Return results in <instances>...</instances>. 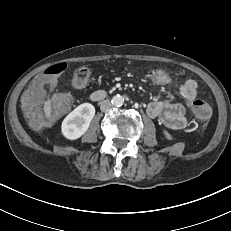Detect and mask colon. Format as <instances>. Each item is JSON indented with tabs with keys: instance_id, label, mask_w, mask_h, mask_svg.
<instances>
[{
	"instance_id": "colon-1",
	"label": "colon",
	"mask_w": 231,
	"mask_h": 231,
	"mask_svg": "<svg viewBox=\"0 0 231 231\" xmlns=\"http://www.w3.org/2000/svg\"><path fill=\"white\" fill-rule=\"evenodd\" d=\"M66 69V64L58 63L48 67L44 74L39 75L35 84H33L23 95L22 109L29 123L34 127L43 124V117L39 110V103L42 98L43 91L48 90L55 77L60 75ZM90 77V71L86 67L77 69L73 77V86L75 88L84 87ZM146 80L155 86H171L173 77L171 73H166L162 69H150L146 73ZM73 98L70 94L59 93L54 96L52 101V118H59L66 114L71 108ZM194 116L202 123H206L211 115L212 108L210 104L202 99L194 100L191 104Z\"/></svg>"
}]
</instances>
